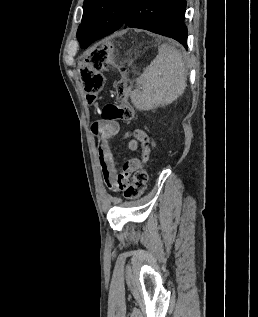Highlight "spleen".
<instances>
[{"mask_svg": "<svg viewBox=\"0 0 258 317\" xmlns=\"http://www.w3.org/2000/svg\"><path fill=\"white\" fill-rule=\"evenodd\" d=\"M136 80L142 90H131V100L138 110L171 104L182 94L186 84L182 52L172 44H161L156 58Z\"/></svg>", "mask_w": 258, "mask_h": 317, "instance_id": "obj_1", "label": "spleen"}]
</instances>
